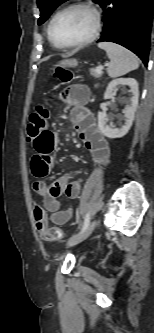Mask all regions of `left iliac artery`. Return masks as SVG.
Returning a JSON list of instances; mask_svg holds the SVG:
<instances>
[{
	"mask_svg": "<svg viewBox=\"0 0 154 333\" xmlns=\"http://www.w3.org/2000/svg\"><path fill=\"white\" fill-rule=\"evenodd\" d=\"M89 223H90V214L87 213L86 216H85V219H84V223H83L81 232L84 231L87 228V226L89 225Z\"/></svg>",
	"mask_w": 154,
	"mask_h": 333,
	"instance_id": "left-iliac-artery-1",
	"label": "left iliac artery"
}]
</instances>
